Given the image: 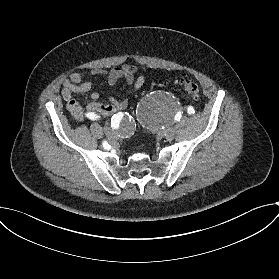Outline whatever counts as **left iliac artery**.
Wrapping results in <instances>:
<instances>
[{
    "label": "left iliac artery",
    "mask_w": 279,
    "mask_h": 279,
    "mask_svg": "<svg viewBox=\"0 0 279 279\" xmlns=\"http://www.w3.org/2000/svg\"><path fill=\"white\" fill-rule=\"evenodd\" d=\"M187 112H188L189 114H194V113H195V110H194V108H193L192 106H189V107L187 108Z\"/></svg>",
    "instance_id": "44dca946"
}]
</instances>
